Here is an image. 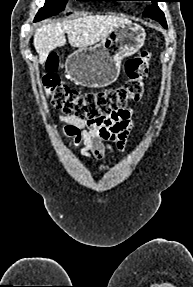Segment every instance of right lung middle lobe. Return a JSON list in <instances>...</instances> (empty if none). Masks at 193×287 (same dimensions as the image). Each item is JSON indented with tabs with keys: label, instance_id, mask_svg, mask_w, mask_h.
<instances>
[{
	"label": "right lung middle lobe",
	"instance_id": "right-lung-middle-lobe-1",
	"mask_svg": "<svg viewBox=\"0 0 193 287\" xmlns=\"http://www.w3.org/2000/svg\"><path fill=\"white\" fill-rule=\"evenodd\" d=\"M77 1H100V0H77ZM67 0H46L44 7H42L36 17L35 21L43 20L52 15H56L64 10Z\"/></svg>",
	"mask_w": 193,
	"mask_h": 287
}]
</instances>
